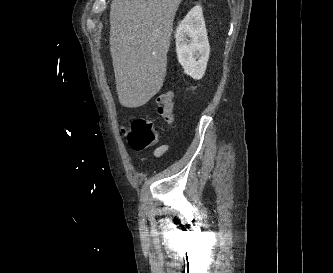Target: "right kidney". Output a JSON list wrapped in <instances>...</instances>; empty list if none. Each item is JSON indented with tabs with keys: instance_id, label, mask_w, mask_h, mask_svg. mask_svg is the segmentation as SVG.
<instances>
[{
	"instance_id": "obj_1",
	"label": "right kidney",
	"mask_w": 333,
	"mask_h": 273,
	"mask_svg": "<svg viewBox=\"0 0 333 273\" xmlns=\"http://www.w3.org/2000/svg\"><path fill=\"white\" fill-rule=\"evenodd\" d=\"M175 38L178 61L184 72L193 79H201L210 54L201 6L193 7L185 16L176 30Z\"/></svg>"
}]
</instances>
